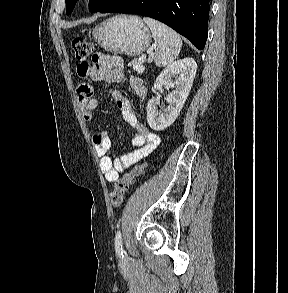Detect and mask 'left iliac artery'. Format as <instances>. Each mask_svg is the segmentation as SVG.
Masks as SVG:
<instances>
[{"label": "left iliac artery", "instance_id": "1", "mask_svg": "<svg viewBox=\"0 0 288 293\" xmlns=\"http://www.w3.org/2000/svg\"><path fill=\"white\" fill-rule=\"evenodd\" d=\"M115 250L118 256L123 257L122 236L120 230L117 231L115 236Z\"/></svg>", "mask_w": 288, "mask_h": 293}]
</instances>
